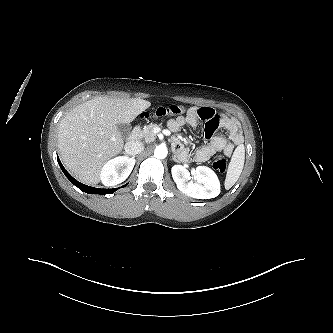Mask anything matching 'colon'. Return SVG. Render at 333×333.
<instances>
[{
  "label": "colon",
  "mask_w": 333,
  "mask_h": 333,
  "mask_svg": "<svg viewBox=\"0 0 333 333\" xmlns=\"http://www.w3.org/2000/svg\"><path fill=\"white\" fill-rule=\"evenodd\" d=\"M185 107L182 105L172 104L169 106L159 107L155 110L153 115L155 117H165V116H172V115H180L185 112ZM144 118H148L150 115L144 113L142 115ZM213 168L219 172H225L227 168V159L223 155H218L213 161Z\"/></svg>",
  "instance_id": "1"
}]
</instances>
